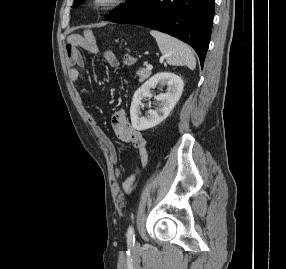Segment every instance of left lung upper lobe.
<instances>
[{
	"label": "left lung upper lobe",
	"mask_w": 286,
	"mask_h": 269,
	"mask_svg": "<svg viewBox=\"0 0 286 269\" xmlns=\"http://www.w3.org/2000/svg\"><path fill=\"white\" fill-rule=\"evenodd\" d=\"M83 0H74L73 7L78 6ZM148 0H127V4L117 7L112 11V15L105 18L107 21L118 22L119 20L130 16L134 12L141 9Z\"/></svg>",
	"instance_id": "5c2ea615"
}]
</instances>
